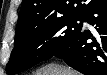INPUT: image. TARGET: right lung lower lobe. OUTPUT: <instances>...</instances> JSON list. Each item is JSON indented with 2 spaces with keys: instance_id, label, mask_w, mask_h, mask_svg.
Returning a JSON list of instances; mask_svg holds the SVG:
<instances>
[{
  "instance_id": "right-lung-lower-lobe-1",
  "label": "right lung lower lobe",
  "mask_w": 107,
  "mask_h": 75,
  "mask_svg": "<svg viewBox=\"0 0 107 75\" xmlns=\"http://www.w3.org/2000/svg\"><path fill=\"white\" fill-rule=\"evenodd\" d=\"M80 16L81 21L93 27L82 26L76 37L55 56L85 75H107V3L92 0Z\"/></svg>"
}]
</instances>
